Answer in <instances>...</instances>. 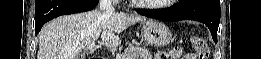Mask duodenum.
I'll use <instances>...</instances> for the list:
<instances>
[{
  "instance_id": "1",
  "label": "duodenum",
  "mask_w": 261,
  "mask_h": 59,
  "mask_svg": "<svg viewBox=\"0 0 261 59\" xmlns=\"http://www.w3.org/2000/svg\"><path fill=\"white\" fill-rule=\"evenodd\" d=\"M91 59H104L103 57H99V56H93V57H90Z\"/></svg>"
}]
</instances>
